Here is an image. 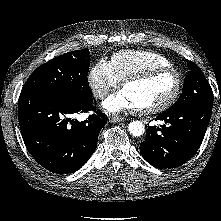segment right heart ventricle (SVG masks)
Instances as JSON below:
<instances>
[{
	"instance_id": "1",
	"label": "right heart ventricle",
	"mask_w": 221,
	"mask_h": 221,
	"mask_svg": "<svg viewBox=\"0 0 221 221\" xmlns=\"http://www.w3.org/2000/svg\"><path fill=\"white\" fill-rule=\"evenodd\" d=\"M120 82L139 72L156 68L170 67L171 62L165 56L147 50H123L114 53L109 61Z\"/></svg>"
}]
</instances>
